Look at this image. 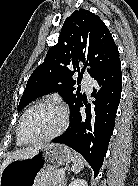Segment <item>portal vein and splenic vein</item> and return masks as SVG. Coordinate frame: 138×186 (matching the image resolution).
I'll return each mask as SVG.
<instances>
[{
    "label": "portal vein and splenic vein",
    "instance_id": "portal-vein-and-splenic-vein-1",
    "mask_svg": "<svg viewBox=\"0 0 138 186\" xmlns=\"http://www.w3.org/2000/svg\"><path fill=\"white\" fill-rule=\"evenodd\" d=\"M58 175L64 177L65 170L64 169L59 170Z\"/></svg>",
    "mask_w": 138,
    "mask_h": 186
}]
</instances>
